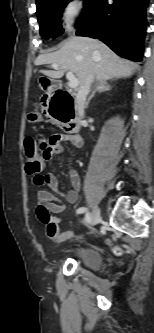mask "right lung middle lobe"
Returning a JSON list of instances; mask_svg holds the SVG:
<instances>
[{
    "label": "right lung middle lobe",
    "instance_id": "dd1d6c3e",
    "mask_svg": "<svg viewBox=\"0 0 154 333\" xmlns=\"http://www.w3.org/2000/svg\"><path fill=\"white\" fill-rule=\"evenodd\" d=\"M71 0H40L37 2V17L40 24V34L44 39L56 38L63 33L60 19L62 10ZM96 0H84L83 19L87 17ZM81 21V22H82ZM81 22L77 23L80 24Z\"/></svg>",
    "mask_w": 154,
    "mask_h": 333
}]
</instances>
